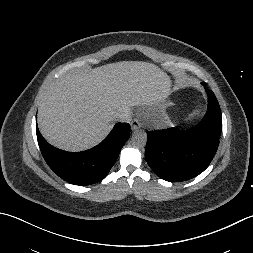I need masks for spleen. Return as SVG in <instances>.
<instances>
[{"instance_id":"spleen-1","label":"spleen","mask_w":253,"mask_h":253,"mask_svg":"<svg viewBox=\"0 0 253 253\" xmlns=\"http://www.w3.org/2000/svg\"><path fill=\"white\" fill-rule=\"evenodd\" d=\"M199 111H200L199 109L194 110L191 114H189V116L186 118V120L188 121V120L194 119L195 116L199 114Z\"/></svg>"}]
</instances>
